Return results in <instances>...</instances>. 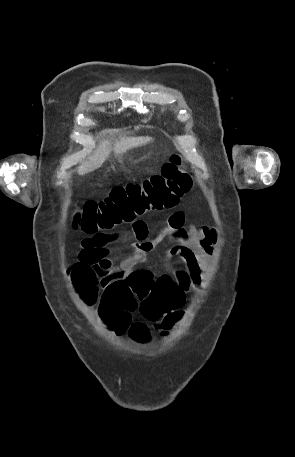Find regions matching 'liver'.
Masks as SVG:
<instances>
[{
    "mask_svg": "<svg viewBox=\"0 0 295 457\" xmlns=\"http://www.w3.org/2000/svg\"><path fill=\"white\" fill-rule=\"evenodd\" d=\"M153 139L148 136L140 137H120L112 146V142L104 140L99 143L94 153L83 162L78 168L77 173L84 175L102 166L113 150L116 155H122L130 149L144 146Z\"/></svg>",
    "mask_w": 295,
    "mask_h": 457,
    "instance_id": "obj_1",
    "label": "liver"
}]
</instances>
